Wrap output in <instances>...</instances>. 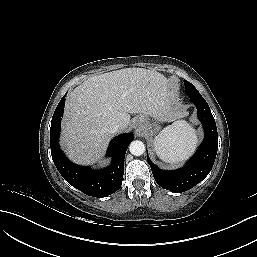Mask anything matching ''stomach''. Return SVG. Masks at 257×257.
<instances>
[{
    "instance_id": "obj_1",
    "label": "stomach",
    "mask_w": 257,
    "mask_h": 257,
    "mask_svg": "<svg viewBox=\"0 0 257 257\" xmlns=\"http://www.w3.org/2000/svg\"><path fill=\"white\" fill-rule=\"evenodd\" d=\"M137 119L140 121L142 129L147 135H153L158 131L160 129L158 123L163 121V117L159 114H141Z\"/></svg>"
}]
</instances>
